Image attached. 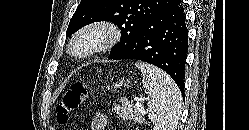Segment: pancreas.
<instances>
[{
  "label": "pancreas",
  "mask_w": 249,
  "mask_h": 130,
  "mask_svg": "<svg viewBox=\"0 0 249 130\" xmlns=\"http://www.w3.org/2000/svg\"><path fill=\"white\" fill-rule=\"evenodd\" d=\"M114 111L126 121L142 123L141 109L129 102H122V106H115Z\"/></svg>",
  "instance_id": "1"
}]
</instances>
